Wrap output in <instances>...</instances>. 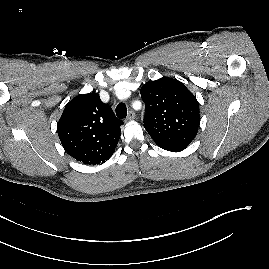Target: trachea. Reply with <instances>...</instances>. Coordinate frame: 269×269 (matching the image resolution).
<instances>
[{"instance_id":"1","label":"trachea","mask_w":269,"mask_h":269,"mask_svg":"<svg viewBox=\"0 0 269 269\" xmlns=\"http://www.w3.org/2000/svg\"><path fill=\"white\" fill-rule=\"evenodd\" d=\"M116 115L118 118H126L127 116V108L124 103H119L116 107Z\"/></svg>"}]
</instances>
